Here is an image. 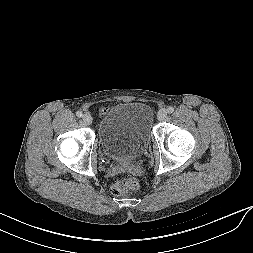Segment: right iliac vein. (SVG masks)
Instances as JSON below:
<instances>
[{
  "label": "right iliac vein",
  "mask_w": 253,
  "mask_h": 253,
  "mask_svg": "<svg viewBox=\"0 0 253 253\" xmlns=\"http://www.w3.org/2000/svg\"><path fill=\"white\" fill-rule=\"evenodd\" d=\"M82 120L86 125H90L92 123V117L89 114H84Z\"/></svg>",
  "instance_id": "obj_1"
}]
</instances>
